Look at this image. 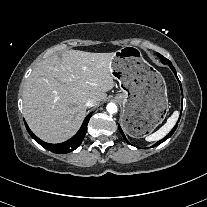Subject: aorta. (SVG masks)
Returning a JSON list of instances; mask_svg holds the SVG:
<instances>
[{"instance_id":"1","label":"aorta","mask_w":207,"mask_h":207,"mask_svg":"<svg viewBox=\"0 0 207 207\" xmlns=\"http://www.w3.org/2000/svg\"><path fill=\"white\" fill-rule=\"evenodd\" d=\"M106 109H107L108 113H110V114H114L118 110L117 105L115 103H112V102L107 104Z\"/></svg>"}]
</instances>
